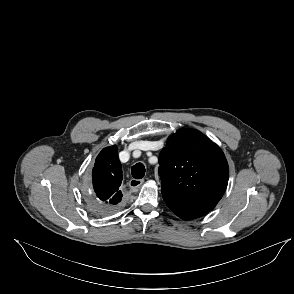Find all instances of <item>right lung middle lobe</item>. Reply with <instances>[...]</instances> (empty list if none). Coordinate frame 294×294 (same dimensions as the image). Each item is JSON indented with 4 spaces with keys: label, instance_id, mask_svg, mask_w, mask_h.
Here are the masks:
<instances>
[{
    "label": "right lung middle lobe",
    "instance_id": "obj_1",
    "mask_svg": "<svg viewBox=\"0 0 294 294\" xmlns=\"http://www.w3.org/2000/svg\"><path fill=\"white\" fill-rule=\"evenodd\" d=\"M90 206H91V209H92L94 212L98 213L97 211H98L99 206H98V204L96 203L95 198H91V199H90ZM98 214H99V213H98Z\"/></svg>",
    "mask_w": 294,
    "mask_h": 294
}]
</instances>
